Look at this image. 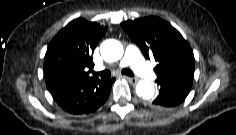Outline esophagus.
Listing matches in <instances>:
<instances>
[{
    "label": "esophagus",
    "mask_w": 236,
    "mask_h": 135,
    "mask_svg": "<svg viewBox=\"0 0 236 135\" xmlns=\"http://www.w3.org/2000/svg\"><path fill=\"white\" fill-rule=\"evenodd\" d=\"M132 85L137 83V79L136 78H132V77H127L124 76Z\"/></svg>",
    "instance_id": "esophagus-1"
}]
</instances>
